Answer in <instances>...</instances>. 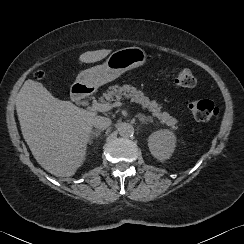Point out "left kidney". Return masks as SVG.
<instances>
[{
  "mask_svg": "<svg viewBox=\"0 0 244 244\" xmlns=\"http://www.w3.org/2000/svg\"><path fill=\"white\" fill-rule=\"evenodd\" d=\"M176 140L173 131L167 129L158 130L148 137V147L156 159L164 161L172 156L176 147Z\"/></svg>",
  "mask_w": 244,
  "mask_h": 244,
  "instance_id": "obj_1",
  "label": "left kidney"
}]
</instances>
